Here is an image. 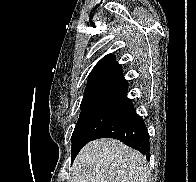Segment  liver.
I'll return each instance as SVG.
<instances>
[{"label":"liver","mask_w":196,"mask_h":182,"mask_svg":"<svg viewBox=\"0 0 196 182\" xmlns=\"http://www.w3.org/2000/svg\"><path fill=\"white\" fill-rule=\"evenodd\" d=\"M70 182H150L146 158L115 139L89 142L77 155Z\"/></svg>","instance_id":"obj_1"}]
</instances>
